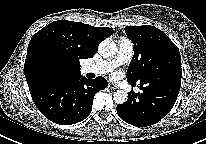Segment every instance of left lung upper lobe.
I'll return each instance as SVG.
<instances>
[{"label":"left lung upper lobe","mask_w":206,"mask_h":144,"mask_svg":"<svg viewBox=\"0 0 206 144\" xmlns=\"http://www.w3.org/2000/svg\"><path fill=\"white\" fill-rule=\"evenodd\" d=\"M127 37L134 43V56L127 72L130 84L147 88L181 87V56L176 45L154 26H127Z\"/></svg>","instance_id":"1"}]
</instances>
